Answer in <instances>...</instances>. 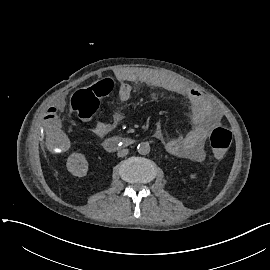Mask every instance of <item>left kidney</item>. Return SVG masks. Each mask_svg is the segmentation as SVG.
Here are the masks:
<instances>
[{
  "label": "left kidney",
  "instance_id": "obj_1",
  "mask_svg": "<svg viewBox=\"0 0 270 270\" xmlns=\"http://www.w3.org/2000/svg\"><path fill=\"white\" fill-rule=\"evenodd\" d=\"M189 178H190L191 181L197 179V173L196 172H191L189 174Z\"/></svg>",
  "mask_w": 270,
  "mask_h": 270
}]
</instances>
